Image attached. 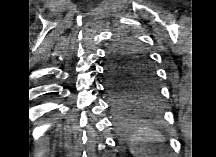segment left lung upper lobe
I'll use <instances>...</instances> for the list:
<instances>
[{
  "label": "left lung upper lobe",
  "mask_w": 216,
  "mask_h": 157,
  "mask_svg": "<svg viewBox=\"0 0 216 157\" xmlns=\"http://www.w3.org/2000/svg\"><path fill=\"white\" fill-rule=\"evenodd\" d=\"M107 73L111 82L133 89V102L157 95L156 74L147 53L131 38L120 36L108 50Z\"/></svg>",
  "instance_id": "5c2ea615"
}]
</instances>
